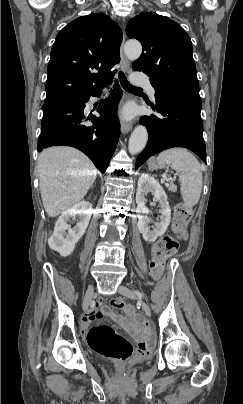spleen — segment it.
I'll return each mask as SVG.
<instances>
[{"label":"spleen","mask_w":243,"mask_h":404,"mask_svg":"<svg viewBox=\"0 0 243 404\" xmlns=\"http://www.w3.org/2000/svg\"><path fill=\"white\" fill-rule=\"evenodd\" d=\"M157 164L163 168L165 164H172L173 168L179 172L180 192L183 202L191 210L200 200L203 178L202 168L186 148H172L161 152L157 158Z\"/></svg>","instance_id":"3e777b00"}]
</instances>
